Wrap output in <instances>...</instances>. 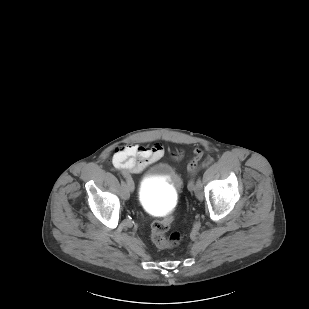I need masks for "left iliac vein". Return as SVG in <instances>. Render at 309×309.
Returning <instances> with one entry per match:
<instances>
[{
	"mask_svg": "<svg viewBox=\"0 0 309 309\" xmlns=\"http://www.w3.org/2000/svg\"><path fill=\"white\" fill-rule=\"evenodd\" d=\"M188 189L190 191H195V196H196L197 199L201 200L203 198V192H202L201 188H196L195 185L193 186L192 183H189Z\"/></svg>",
	"mask_w": 309,
	"mask_h": 309,
	"instance_id": "1",
	"label": "left iliac vein"
}]
</instances>
